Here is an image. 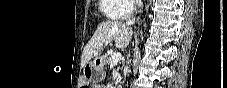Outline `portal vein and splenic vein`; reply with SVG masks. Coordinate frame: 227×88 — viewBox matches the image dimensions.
<instances>
[{
    "label": "portal vein and splenic vein",
    "instance_id": "1",
    "mask_svg": "<svg viewBox=\"0 0 227 88\" xmlns=\"http://www.w3.org/2000/svg\"><path fill=\"white\" fill-rule=\"evenodd\" d=\"M121 53L117 52V53H114L112 55V58H111V65H116L120 60H121Z\"/></svg>",
    "mask_w": 227,
    "mask_h": 88
}]
</instances>
